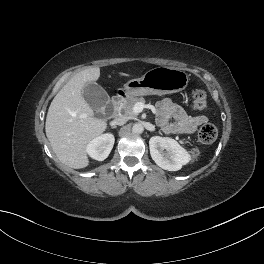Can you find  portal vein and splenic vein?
Instances as JSON below:
<instances>
[{
  "mask_svg": "<svg viewBox=\"0 0 264 264\" xmlns=\"http://www.w3.org/2000/svg\"><path fill=\"white\" fill-rule=\"evenodd\" d=\"M144 108H145L144 104L138 102L134 105L133 112L138 114V113L142 112Z\"/></svg>",
  "mask_w": 264,
  "mask_h": 264,
  "instance_id": "obj_1",
  "label": "portal vein and splenic vein"
}]
</instances>
